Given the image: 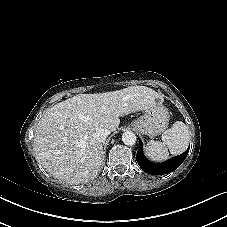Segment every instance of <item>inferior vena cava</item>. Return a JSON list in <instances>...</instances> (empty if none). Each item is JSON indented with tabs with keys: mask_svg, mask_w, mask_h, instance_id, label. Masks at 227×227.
I'll return each instance as SVG.
<instances>
[{
	"mask_svg": "<svg viewBox=\"0 0 227 227\" xmlns=\"http://www.w3.org/2000/svg\"><path fill=\"white\" fill-rule=\"evenodd\" d=\"M109 134H110V130L101 128L95 132L94 138L96 141L102 143L106 140V138L108 137Z\"/></svg>",
	"mask_w": 227,
	"mask_h": 227,
	"instance_id": "1",
	"label": "inferior vena cava"
}]
</instances>
